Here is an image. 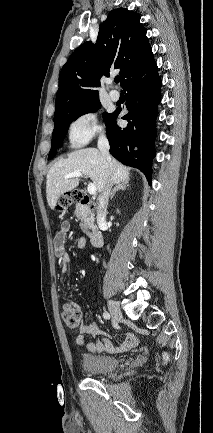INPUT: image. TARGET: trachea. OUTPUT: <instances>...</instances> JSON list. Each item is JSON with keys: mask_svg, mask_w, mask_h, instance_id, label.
<instances>
[{"mask_svg": "<svg viewBox=\"0 0 213 433\" xmlns=\"http://www.w3.org/2000/svg\"><path fill=\"white\" fill-rule=\"evenodd\" d=\"M119 80H120L119 77H116V78H115V82H116V83H119Z\"/></svg>", "mask_w": 213, "mask_h": 433, "instance_id": "1", "label": "trachea"}]
</instances>
